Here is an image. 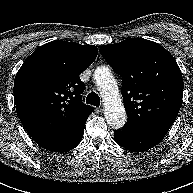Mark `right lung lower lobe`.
I'll use <instances>...</instances> for the list:
<instances>
[{
    "label": "right lung lower lobe",
    "instance_id": "98d812e1",
    "mask_svg": "<svg viewBox=\"0 0 193 193\" xmlns=\"http://www.w3.org/2000/svg\"><path fill=\"white\" fill-rule=\"evenodd\" d=\"M88 119V118H87ZM59 133L33 138L41 147L53 152H67L75 148L83 137L86 120Z\"/></svg>",
    "mask_w": 193,
    "mask_h": 193
}]
</instances>
